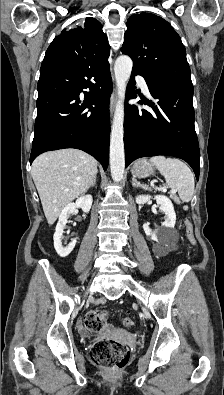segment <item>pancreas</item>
Returning <instances> with one entry per match:
<instances>
[{
    "label": "pancreas",
    "instance_id": "1",
    "mask_svg": "<svg viewBox=\"0 0 224 395\" xmlns=\"http://www.w3.org/2000/svg\"><path fill=\"white\" fill-rule=\"evenodd\" d=\"M170 197H171L175 202L179 203V200H178V198H177L176 195L170 194Z\"/></svg>",
    "mask_w": 224,
    "mask_h": 395
}]
</instances>
